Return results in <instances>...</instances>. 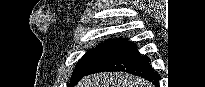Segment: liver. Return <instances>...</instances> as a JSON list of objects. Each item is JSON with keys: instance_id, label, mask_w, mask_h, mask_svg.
<instances>
[{"instance_id": "liver-1", "label": "liver", "mask_w": 205, "mask_h": 87, "mask_svg": "<svg viewBox=\"0 0 205 87\" xmlns=\"http://www.w3.org/2000/svg\"><path fill=\"white\" fill-rule=\"evenodd\" d=\"M77 87H153L146 80L127 73L106 72L83 78Z\"/></svg>"}]
</instances>
